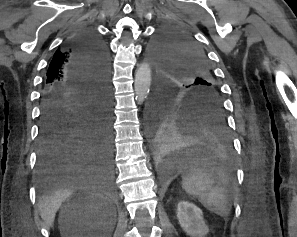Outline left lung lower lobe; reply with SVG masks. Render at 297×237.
I'll use <instances>...</instances> for the list:
<instances>
[{
  "label": "left lung lower lobe",
  "mask_w": 297,
  "mask_h": 237,
  "mask_svg": "<svg viewBox=\"0 0 297 237\" xmlns=\"http://www.w3.org/2000/svg\"><path fill=\"white\" fill-rule=\"evenodd\" d=\"M151 113L155 117L170 115L173 121L171 130L156 129L154 133L155 154L164 167L213 165L232 156L226 116L218 103L210 100L175 103L166 93H158Z\"/></svg>",
  "instance_id": "left-lung-lower-lobe-1"
}]
</instances>
